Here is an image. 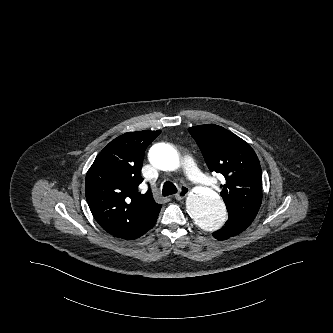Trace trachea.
Instances as JSON below:
<instances>
[{
	"mask_svg": "<svg viewBox=\"0 0 333 333\" xmlns=\"http://www.w3.org/2000/svg\"><path fill=\"white\" fill-rule=\"evenodd\" d=\"M176 192H177V187L172 182L166 181L163 184V188H162L163 196L172 195V194H175Z\"/></svg>",
	"mask_w": 333,
	"mask_h": 333,
	"instance_id": "3493384b",
	"label": "trachea"
}]
</instances>
